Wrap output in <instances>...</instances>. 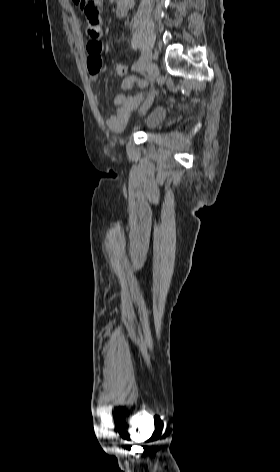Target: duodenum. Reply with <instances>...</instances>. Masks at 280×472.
I'll return each mask as SVG.
<instances>
[{"mask_svg":"<svg viewBox=\"0 0 280 472\" xmlns=\"http://www.w3.org/2000/svg\"><path fill=\"white\" fill-rule=\"evenodd\" d=\"M118 17H124L126 15V10L122 7L117 8Z\"/></svg>","mask_w":280,"mask_h":472,"instance_id":"410a0bca","label":"duodenum"}]
</instances>
